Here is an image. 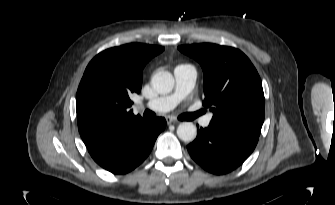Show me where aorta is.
Returning <instances> with one entry per match:
<instances>
[{
	"label": "aorta",
	"mask_w": 335,
	"mask_h": 205,
	"mask_svg": "<svg viewBox=\"0 0 335 205\" xmlns=\"http://www.w3.org/2000/svg\"><path fill=\"white\" fill-rule=\"evenodd\" d=\"M153 89L159 94L170 93L174 87L173 75L168 71H160L151 79ZM177 135L184 142H191L197 136L196 126L191 122H183L177 127Z\"/></svg>",
	"instance_id": "1"
}]
</instances>
